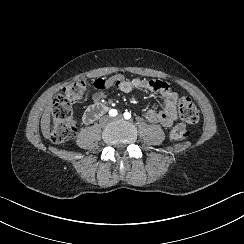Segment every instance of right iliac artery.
<instances>
[{
  "mask_svg": "<svg viewBox=\"0 0 244 244\" xmlns=\"http://www.w3.org/2000/svg\"><path fill=\"white\" fill-rule=\"evenodd\" d=\"M109 115L112 116V117H115V116L117 115V110H115V109H111V110L109 111Z\"/></svg>",
  "mask_w": 244,
  "mask_h": 244,
  "instance_id": "obj_1",
  "label": "right iliac artery"
}]
</instances>
